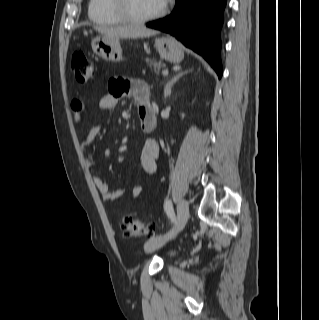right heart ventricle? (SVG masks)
<instances>
[{
  "label": "right heart ventricle",
  "instance_id": "e07e8e85",
  "mask_svg": "<svg viewBox=\"0 0 319 320\" xmlns=\"http://www.w3.org/2000/svg\"><path fill=\"white\" fill-rule=\"evenodd\" d=\"M88 16L93 22L106 26L125 22L113 9L111 0H90Z\"/></svg>",
  "mask_w": 319,
  "mask_h": 320
}]
</instances>
